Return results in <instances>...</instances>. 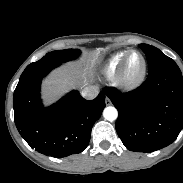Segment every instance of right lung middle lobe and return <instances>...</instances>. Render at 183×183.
<instances>
[{
    "label": "right lung middle lobe",
    "instance_id": "1",
    "mask_svg": "<svg viewBox=\"0 0 183 183\" xmlns=\"http://www.w3.org/2000/svg\"><path fill=\"white\" fill-rule=\"evenodd\" d=\"M80 55L78 49H65L47 53L42 59L29 64L25 70L43 69L58 66L67 61L76 59Z\"/></svg>",
    "mask_w": 183,
    "mask_h": 183
}]
</instances>
